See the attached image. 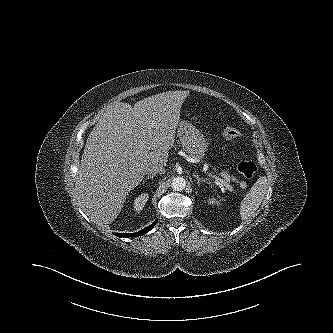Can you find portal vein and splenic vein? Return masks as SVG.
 <instances>
[{
    "label": "portal vein and splenic vein",
    "mask_w": 333,
    "mask_h": 333,
    "mask_svg": "<svg viewBox=\"0 0 333 333\" xmlns=\"http://www.w3.org/2000/svg\"><path fill=\"white\" fill-rule=\"evenodd\" d=\"M207 175L213 179H215L219 184H221L222 186H224L226 189H228V191L233 192L234 189L233 187H231L227 182H225L223 179L211 174V173H207Z\"/></svg>",
    "instance_id": "obj_1"
}]
</instances>
